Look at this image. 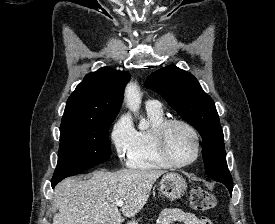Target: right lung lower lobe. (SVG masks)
I'll return each instance as SVG.
<instances>
[{"instance_id": "98d812e1", "label": "right lung lower lobe", "mask_w": 275, "mask_h": 224, "mask_svg": "<svg viewBox=\"0 0 275 224\" xmlns=\"http://www.w3.org/2000/svg\"><path fill=\"white\" fill-rule=\"evenodd\" d=\"M59 181H52V188L55 187V185L58 183Z\"/></svg>"}]
</instances>
